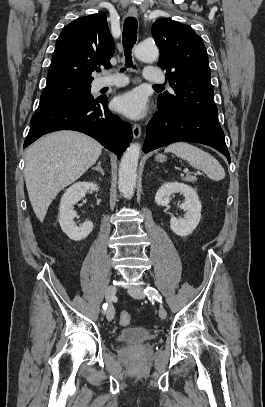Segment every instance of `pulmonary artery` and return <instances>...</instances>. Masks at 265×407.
<instances>
[{
	"instance_id": "e3ab8cb5",
	"label": "pulmonary artery",
	"mask_w": 265,
	"mask_h": 407,
	"mask_svg": "<svg viewBox=\"0 0 265 407\" xmlns=\"http://www.w3.org/2000/svg\"><path fill=\"white\" fill-rule=\"evenodd\" d=\"M144 77L147 81L155 84H162L165 82V76L163 72L160 69L153 66H147L145 68ZM126 83L127 79L122 76L115 77L114 79L111 80L101 78L97 81L96 87L97 88H103L108 86L120 87L125 85Z\"/></svg>"
}]
</instances>
